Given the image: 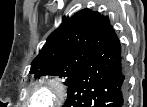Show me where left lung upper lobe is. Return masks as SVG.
Segmentation results:
<instances>
[{
    "label": "left lung upper lobe",
    "instance_id": "5c2ea615",
    "mask_svg": "<svg viewBox=\"0 0 147 107\" xmlns=\"http://www.w3.org/2000/svg\"><path fill=\"white\" fill-rule=\"evenodd\" d=\"M111 30L108 18L89 9L64 18L33 60L30 73L35 78L43 75L64 77L68 86Z\"/></svg>",
    "mask_w": 147,
    "mask_h": 107
}]
</instances>
